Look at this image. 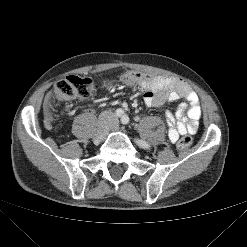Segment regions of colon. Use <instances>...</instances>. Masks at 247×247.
<instances>
[{
    "instance_id": "5ec220e1",
    "label": "colon",
    "mask_w": 247,
    "mask_h": 247,
    "mask_svg": "<svg viewBox=\"0 0 247 247\" xmlns=\"http://www.w3.org/2000/svg\"><path fill=\"white\" fill-rule=\"evenodd\" d=\"M155 80L151 75L138 71H127L119 76V81L124 85L142 84ZM95 85L87 77L68 76L59 81L54 87L51 110L56 101H69L76 98H85L91 94ZM192 144V137L186 135L182 137L177 146L180 149H186Z\"/></svg>"
}]
</instances>
